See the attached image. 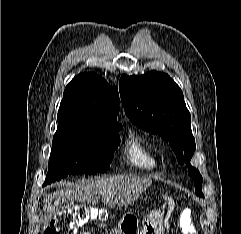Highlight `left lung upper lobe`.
Masks as SVG:
<instances>
[{
    "label": "left lung upper lobe",
    "instance_id": "1",
    "mask_svg": "<svg viewBox=\"0 0 241 234\" xmlns=\"http://www.w3.org/2000/svg\"><path fill=\"white\" fill-rule=\"evenodd\" d=\"M119 91L130 121L142 130L160 135L170 144L178 162L187 163L196 195L204 197L203 178L190 164L196 145L190 112L179 86L167 74L151 71L139 77L122 75Z\"/></svg>",
    "mask_w": 241,
    "mask_h": 234
}]
</instances>
